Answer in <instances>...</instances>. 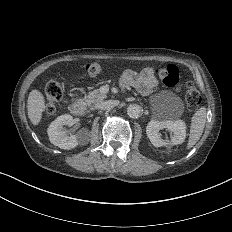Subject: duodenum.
<instances>
[{
  "mask_svg": "<svg viewBox=\"0 0 232 232\" xmlns=\"http://www.w3.org/2000/svg\"><path fill=\"white\" fill-rule=\"evenodd\" d=\"M70 112L75 116H80L84 112V105L79 99H74L70 106H69Z\"/></svg>",
  "mask_w": 232,
  "mask_h": 232,
  "instance_id": "duodenum-1",
  "label": "duodenum"
}]
</instances>
